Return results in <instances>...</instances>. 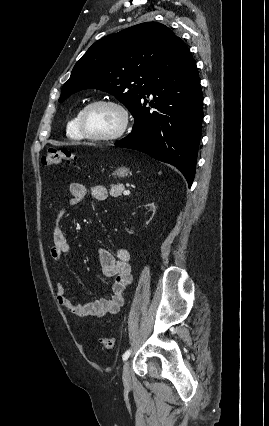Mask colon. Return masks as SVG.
Wrapping results in <instances>:
<instances>
[{
  "label": "colon",
  "mask_w": 269,
  "mask_h": 426,
  "mask_svg": "<svg viewBox=\"0 0 269 426\" xmlns=\"http://www.w3.org/2000/svg\"><path fill=\"white\" fill-rule=\"evenodd\" d=\"M75 159L76 156L68 149L49 148L42 156V164L47 167H55L63 162L70 163ZM100 343L107 350L114 346V341L107 337L101 338Z\"/></svg>",
  "instance_id": "obj_1"
}]
</instances>
